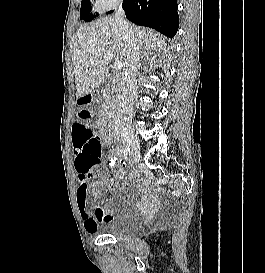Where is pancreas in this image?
Masks as SVG:
<instances>
[{
	"label": "pancreas",
	"mask_w": 265,
	"mask_h": 273,
	"mask_svg": "<svg viewBox=\"0 0 265 273\" xmlns=\"http://www.w3.org/2000/svg\"><path fill=\"white\" fill-rule=\"evenodd\" d=\"M103 111H114L117 104V88L113 85L108 86L103 93Z\"/></svg>",
	"instance_id": "cf45deb5"
}]
</instances>
